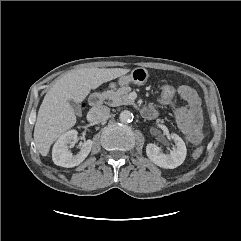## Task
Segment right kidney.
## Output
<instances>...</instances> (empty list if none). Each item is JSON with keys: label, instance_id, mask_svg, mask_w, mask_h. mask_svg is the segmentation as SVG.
Masks as SVG:
<instances>
[{"label": "right kidney", "instance_id": "ca27d5eb", "mask_svg": "<svg viewBox=\"0 0 241 241\" xmlns=\"http://www.w3.org/2000/svg\"><path fill=\"white\" fill-rule=\"evenodd\" d=\"M77 131L69 130L63 133L53 146L52 159L53 162L61 167L71 168L79 165L85 160L92 148V140L84 141L80 147V152L73 155L69 151L71 145L77 139Z\"/></svg>", "mask_w": 241, "mask_h": 241}]
</instances>
